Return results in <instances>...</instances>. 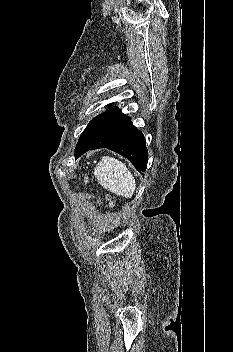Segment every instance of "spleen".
<instances>
[{
  "mask_svg": "<svg viewBox=\"0 0 233 352\" xmlns=\"http://www.w3.org/2000/svg\"><path fill=\"white\" fill-rule=\"evenodd\" d=\"M94 176L108 191L131 198L136 189V181L126 165L113 157L104 156L94 169Z\"/></svg>",
  "mask_w": 233,
  "mask_h": 352,
  "instance_id": "3e777b00",
  "label": "spleen"
}]
</instances>
